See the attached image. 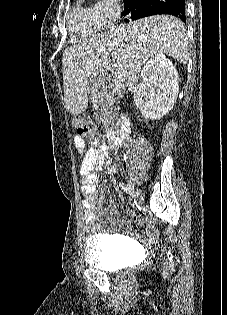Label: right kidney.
<instances>
[{
    "label": "right kidney",
    "mask_w": 227,
    "mask_h": 315,
    "mask_svg": "<svg viewBox=\"0 0 227 315\" xmlns=\"http://www.w3.org/2000/svg\"><path fill=\"white\" fill-rule=\"evenodd\" d=\"M141 76L143 81L134 94L135 104L145 118L160 119L173 108L177 98V70L163 53H157L146 62Z\"/></svg>",
    "instance_id": "obj_1"
}]
</instances>
